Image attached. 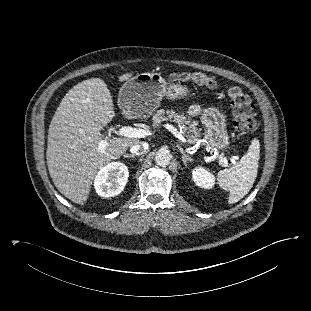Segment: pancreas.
I'll return each instance as SVG.
<instances>
[{
    "mask_svg": "<svg viewBox=\"0 0 311 311\" xmlns=\"http://www.w3.org/2000/svg\"><path fill=\"white\" fill-rule=\"evenodd\" d=\"M173 121L177 123L178 127L182 129L184 136H186L189 144L195 143L201 136L200 130L197 129V122L187 119L183 114H178L174 110H157L152 117L154 126H160L164 121Z\"/></svg>",
    "mask_w": 311,
    "mask_h": 311,
    "instance_id": "pancreas-1",
    "label": "pancreas"
}]
</instances>
